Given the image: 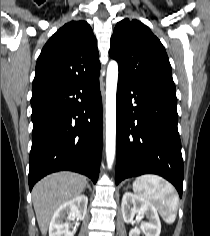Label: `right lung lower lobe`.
Listing matches in <instances>:
<instances>
[{
	"mask_svg": "<svg viewBox=\"0 0 210 236\" xmlns=\"http://www.w3.org/2000/svg\"><path fill=\"white\" fill-rule=\"evenodd\" d=\"M99 72L31 103L30 190L42 177L62 170L96 183L102 154Z\"/></svg>",
	"mask_w": 210,
	"mask_h": 236,
	"instance_id": "98d812e1",
	"label": "right lung lower lobe"
}]
</instances>
